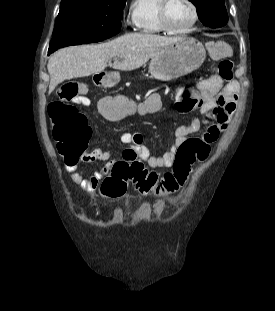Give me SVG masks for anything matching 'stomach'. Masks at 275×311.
Instances as JSON below:
<instances>
[{"label":"stomach","instance_id":"0dacf381","mask_svg":"<svg viewBox=\"0 0 275 311\" xmlns=\"http://www.w3.org/2000/svg\"><path fill=\"white\" fill-rule=\"evenodd\" d=\"M206 51L202 43L194 38H181L179 41L162 48L149 63L151 76L160 81H171L198 69L204 62ZM106 84L113 87L119 82V74L106 73Z\"/></svg>","mask_w":275,"mask_h":311}]
</instances>
